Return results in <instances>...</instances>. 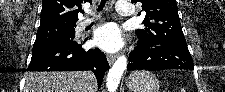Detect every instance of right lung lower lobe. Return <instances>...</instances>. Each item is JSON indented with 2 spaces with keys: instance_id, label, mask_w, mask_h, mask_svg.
Segmentation results:
<instances>
[{
  "instance_id": "right-lung-lower-lobe-1",
  "label": "right lung lower lobe",
  "mask_w": 225,
  "mask_h": 92,
  "mask_svg": "<svg viewBox=\"0 0 225 92\" xmlns=\"http://www.w3.org/2000/svg\"><path fill=\"white\" fill-rule=\"evenodd\" d=\"M109 69L106 56L98 48L88 51L71 40L48 43L33 47L29 71H76L91 70L101 86L104 74Z\"/></svg>"
}]
</instances>
